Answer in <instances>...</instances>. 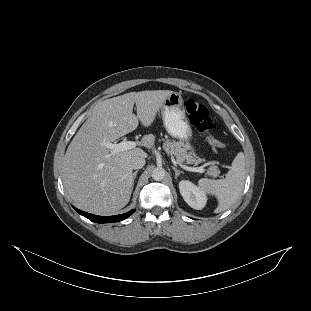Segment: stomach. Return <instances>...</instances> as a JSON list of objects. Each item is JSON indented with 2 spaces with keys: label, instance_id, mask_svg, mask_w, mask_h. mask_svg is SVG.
Wrapping results in <instances>:
<instances>
[{
  "label": "stomach",
  "instance_id": "0dacf381",
  "mask_svg": "<svg viewBox=\"0 0 311 311\" xmlns=\"http://www.w3.org/2000/svg\"><path fill=\"white\" fill-rule=\"evenodd\" d=\"M161 116L166 132L172 138L183 142L188 147L187 152L195 157L197 147L193 143V128L186 115L181 93L174 92L166 99L161 108Z\"/></svg>",
  "mask_w": 311,
  "mask_h": 311
}]
</instances>
